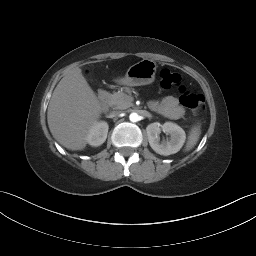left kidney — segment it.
<instances>
[{
  "mask_svg": "<svg viewBox=\"0 0 256 256\" xmlns=\"http://www.w3.org/2000/svg\"><path fill=\"white\" fill-rule=\"evenodd\" d=\"M164 131L170 134V139L160 142L159 134ZM148 141L151 148L160 155L177 153L185 143V131L175 123L166 122L163 125L151 123L146 127Z\"/></svg>",
  "mask_w": 256,
  "mask_h": 256,
  "instance_id": "1",
  "label": "left kidney"
}]
</instances>
